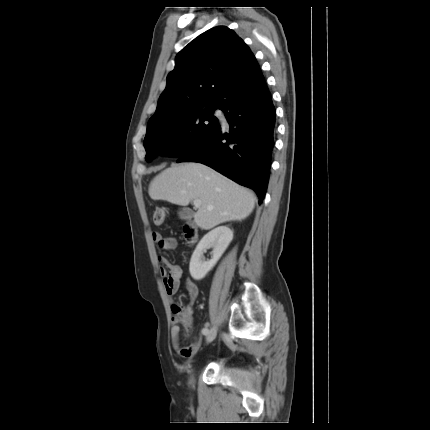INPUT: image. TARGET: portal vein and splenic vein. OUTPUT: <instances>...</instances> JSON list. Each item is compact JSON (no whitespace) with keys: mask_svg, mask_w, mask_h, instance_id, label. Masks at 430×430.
I'll use <instances>...</instances> for the list:
<instances>
[{"mask_svg":"<svg viewBox=\"0 0 430 430\" xmlns=\"http://www.w3.org/2000/svg\"><path fill=\"white\" fill-rule=\"evenodd\" d=\"M193 203H194V206H195L196 208H199V207L201 206V204H202V202H201V200H200V199H195V200L193 201Z\"/></svg>","mask_w":430,"mask_h":430,"instance_id":"18ae733b","label":"portal vein and splenic vein"}]
</instances>
